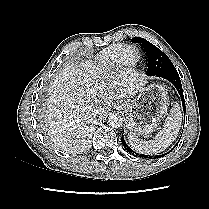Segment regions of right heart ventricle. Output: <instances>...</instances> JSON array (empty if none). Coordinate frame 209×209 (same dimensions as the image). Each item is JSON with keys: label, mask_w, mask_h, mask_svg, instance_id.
<instances>
[{"label": "right heart ventricle", "mask_w": 209, "mask_h": 209, "mask_svg": "<svg viewBox=\"0 0 209 209\" xmlns=\"http://www.w3.org/2000/svg\"><path fill=\"white\" fill-rule=\"evenodd\" d=\"M123 45L115 44L102 50L94 60L95 67L104 70L114 64L117 60V56L122 49ZM138 60V54L136 53L131 59L132 64Z\"/></svg>", "instance_id": "right-heart-ventricle-1"}]
</instances>
